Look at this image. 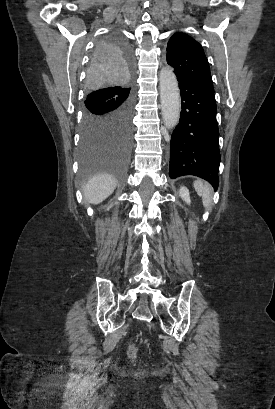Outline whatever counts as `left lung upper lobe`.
<instances>
[{
	"mask_svg": "<svg viewBox=\"0 0 275 409\" xmlns=\"http://www.w3.org/2000/svg\"><path fill=\"white\" fill-rule=\"evenodd\" d=\"M167 63L178 77L191 78L213 87L209 63L202 46L185 33L174 34L167 46Z\"/></svg>",
	"mask_w": 275,
	"mask_h": 409,
	"instance_id": "left-lung-upper-lobe-1",
	"label": "left lung upper lobe"
}]
</instances>
